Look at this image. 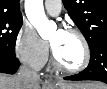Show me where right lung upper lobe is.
I'll return each instance as SVG.
<instances>
[{
    "mask_svg": "<svg viewBox=\"0 0 107 89\" xmlns=\"http://www.w3.org/2000/svg\"><path fill=\"white\" fill-rule=\"evenodd\" d=\"M19 0H0V16L22 18Z\"/></svg>",
    "mask_w": 107,
    "mask_h": 89,
    "instance_id": "cb5924a9",
    "label": "right lung upper lobe"
}]
</instances>
